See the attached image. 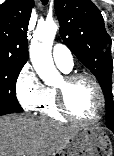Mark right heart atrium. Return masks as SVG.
Returning <instances> with one entry per match:
<instances>
[{
  "label": "right heart atrium",
  "instance_id": "right-heart-atrium-1",
  "mask_svg": "<svg viewBox=\"0 0 114 156\" xmlns=\"http://www.w3.org/2000/svg\"><path fill=\"white\" fill-rule=\"evenodd\" d=\"M15 94L26 111L36 110L45 97V86L42 84L29 64L22 67L15 81Z\"/></svg>",
  "mask_w": 114,
  "mask_h": 156
}]
</instances>
